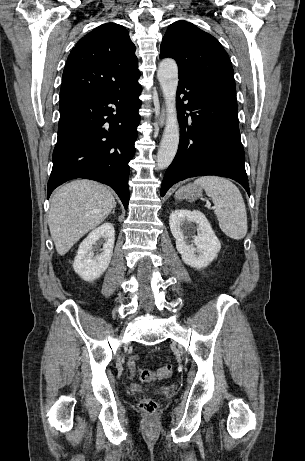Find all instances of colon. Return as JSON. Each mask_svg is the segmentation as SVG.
Instances as JSON below:
<instances>
[{"label": "colon", "mask_w": 305, "mask_h": 461, "mask_svg": "<svg viewBox=\"0 0 305 461\" xmlns=\"http://www.w3.org/2000/svg\"><path fill=\"white\" fill-rule=\"evenodd\" d=\"M173 374V367L170 364L160 367L156 371L147 368H138L137 376L142 382H150L156 379L169 378ZM139 408L146 414H154L158 410V403L153 398L145 397L139 402Z\"/></svg>", "instance_id": "colon-1"}]
</instances>
